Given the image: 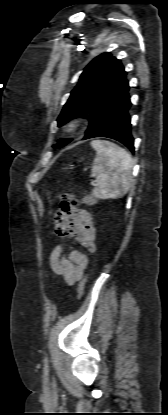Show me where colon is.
Returning a JSON list of instances; mask_svg holds the SVG:
<instances>
[{
	"label": "colon",
	"mask_w": 168,
	"mask_h": 415,
	"mask_svg": "<svg viewBox=\"0 0 168 415\" xmlns=\"http://www.w3.org/2000/svg\"><path fill=\"white\" fill-rule=\"evenodd\" d=\"M95 197L96 196L94 195V192H89L86 194V196L76 197V200H73V201H75L76 207L79 206V203L83 202V203H89L88 204L89 208H94L95 207L94 203L96 202ZM84 207H87V204H84ZM85 284H86V279L84 278L80 281L79 286H78V298H81L83 296Z\"/></svg>",
	"instance_id": "obj_1"
}]
</instances>
